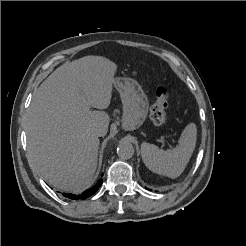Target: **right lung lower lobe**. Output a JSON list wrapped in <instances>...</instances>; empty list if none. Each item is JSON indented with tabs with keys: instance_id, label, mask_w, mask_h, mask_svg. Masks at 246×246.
Here are the masks:
<instances>
[{
	"instance_id": "right-lung-lower-lobe-1",
	"label": "right lung lower lobe",
	"mask_w": 246,
	"mask_h": 246,
	"mask_svg": "<svg viewBox=\"0 0 246 246\" xmlns=\"http://www.w3.org/2000/svg\"><path fill=\"white\" fill-rule=\"evenodd\" d=\"M101 185H102V180L98 181L96 185L84 191L80 195H75L71 193H63L62 195H64V197L71 199V200H85L86 198L94 195L97 192V190L100 188Z\"/></svg>"
}]
</instances>
